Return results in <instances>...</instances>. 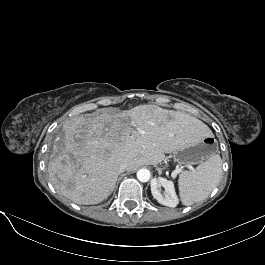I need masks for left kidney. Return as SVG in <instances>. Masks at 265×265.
<instances>
[{
  "instance_id": "1",
  "label": "left kidney",
  "mask_w": 265,
  "mask_h": 265,
  "mask_svg": "<svg viewBox=\"0 0 265 265\" xmlns=\"http://www.w3.org/2000/svg\"><path fill=\"white\" fill-rule=\"evenodd\" d=\"M164 188V196L161 194V188ZM151 193L153 197L162 205L168 207H176L178 205V197L175 192L174 183L163 177L154 178L151 181Z\"/></svg>"
}]
</instances>
